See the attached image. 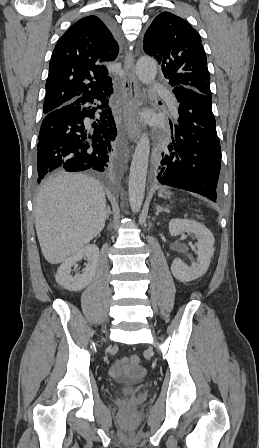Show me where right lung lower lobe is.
Listing matches in <instances>:
<instances>
[{"label":"right lung lower lobe","instance_id":"obj_1","mask_svg":"<svg viewBox=\"0 0 259 448\" xmlns=\"http://www.w3.org/2000/svg\"><path fill=\"white\" fill-rule=\"evenodd\" d=\"M113 88L44 113L37 145V182L50 172L108 167L117 129L108 105ZM99 101V103H96Z\"/></svg>","mask_w":259,"mask_h":448}]
</instances>
